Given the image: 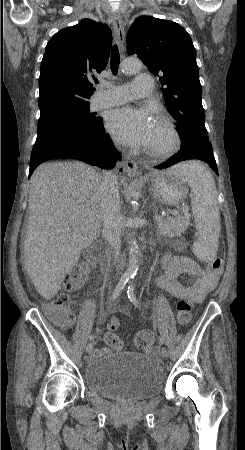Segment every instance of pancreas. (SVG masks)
I'll return each instance as SVG.
<instances>
[{"mask_svg": "<svg viewBox=\"0 0 245 450\" xmlns=\"http://www.w3.org/2000/svg\"><path fill=\"white\" fill-rule=\"evenodd\" d=\"M189 224L190 215L188 213H184V216H167L165 219L157 222L159 234L166 237L179 236L181 233L185 232Z\"/></svg>", "mask_w": 245, "mask_h": 450, "instance_id": "1", "label": "pancreas"}]
</instances>
